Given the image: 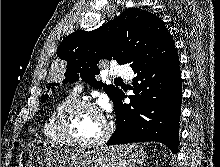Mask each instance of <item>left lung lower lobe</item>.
<instances>
[{
  "mask_svg": "<svg viewBox=\"0 0 220 167\" xmlns=\"http://www.w3.org/2000/svg\"><path fill=\"white\" fill-rule=\"evenodd\" d=\"M130 104L124 92L114 103L116 130L107 145L156 141L175 154L179 144L182 81L179 58L174 48L164 57L132 68Z\"/></svg>",
  "mask_w": 220,
  "mask_h": 167,
  "instance_id": "left-lung-lower-lobe-1",
  "label": "left lung lower lobe"
}]
</instances>
